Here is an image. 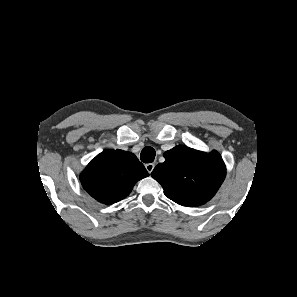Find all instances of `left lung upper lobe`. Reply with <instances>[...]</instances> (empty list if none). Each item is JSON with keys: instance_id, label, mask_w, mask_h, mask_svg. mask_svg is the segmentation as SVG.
Wrapping results in <instances>:
<instances>
[{"instance_id": "left-lung-upper-lobe-1", "label": "left lung upper lobe", "mask_w": 297, "mask_h": 297, "mask_svg": "<svg viewBox=\"0 0 297 297\" xmlns=\"http://www.w3.org/2000/svg\"><path fill=\"white\" fill-rule=\"evenodd\" d=\"M165 162L151 175L174 202L197 207L209 201L226 175L225 164L217 151L210 154L179 145L164 153Z\"/></svg>"}]
</instances>
